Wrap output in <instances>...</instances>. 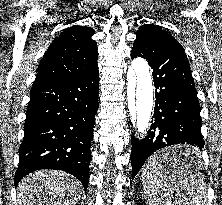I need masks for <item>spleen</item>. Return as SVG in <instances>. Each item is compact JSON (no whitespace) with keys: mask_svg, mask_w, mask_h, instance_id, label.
<instances>
[{"mask_svg":"<svg viewBox=\"0 0 222 205\" xmlns=\"http://www.w3.org/2000/svg\"><path fill=\"white\" fill-rule=\"evenodd\" d=\"M172 159L154 154L142 167L144 194L149 205H208L204 175L191 171L175 172Z\"/></svg>","mask_w":222,"mask_h":205,"instance_id":"1","label":"spleen"}]
</instances>
